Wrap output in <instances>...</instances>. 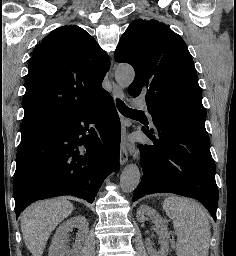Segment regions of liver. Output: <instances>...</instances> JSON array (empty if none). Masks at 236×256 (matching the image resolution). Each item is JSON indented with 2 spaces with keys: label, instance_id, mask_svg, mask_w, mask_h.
<instances>
[{
  "label": "liver",
  "instance_id": "obj_1",
  "mask_svg": "<svg viewBox=\"0 0 236 256\" xmlns=\"http://www.w3.org/2000/svg\"><path fill=\"white\" fill-rule=\"evenodd\" d=\"M72 212L73 204L67 198L36 202L25 210L21 216V230L32 256H42L53 230Z\"/></svg>",
  "mask_w": 236,
  "mask_h": 256
}]
</instances>
